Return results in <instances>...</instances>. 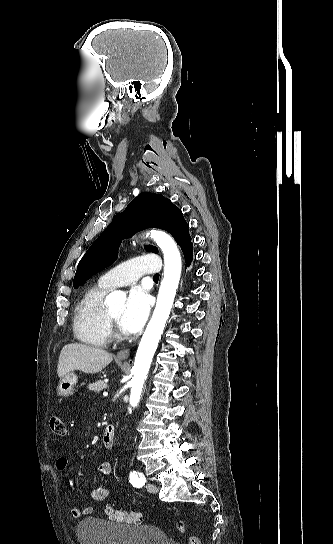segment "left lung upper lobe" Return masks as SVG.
<instances>
[{"label":"left lung upper lobe","mask_w":333,"mask_h":544,"mask_svg":"<svg viewBox=\"0 0 333 544\" xmlns=\"http://www.w3.org/2000/svg\"><path fill=\"white\" fill-rule=\"evenodd\" d=\"M146 228H160L171 233L184 254L192 250L189 226L179 208L162 195L139 194L91 245L78 264L73 286L78 288L86 279L111 265L117 258L122 238ZM146 251L158 253L154 246Z\"/></svg>","instance_id":"1"}]
</instances>
